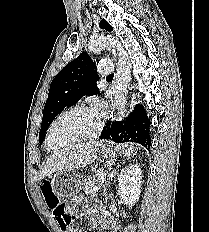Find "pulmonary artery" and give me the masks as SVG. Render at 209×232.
Masks as SVG:
<instances>
[{"mask_svg":"<svg viewBox=\"0 0 209 232\" xmlns=\"http://www.w3.org/2000/svg\"><path fill=\"white\" fill-rule=\"evenodd\" d=\"M113 70V64L110 60H102L98 65V72L101 75H108Z\"/></svg>","mask_w":209,"mask_h":232,"instance_id":"e3ab8cb5","label":"pulmonary artery"}]
</instances>
